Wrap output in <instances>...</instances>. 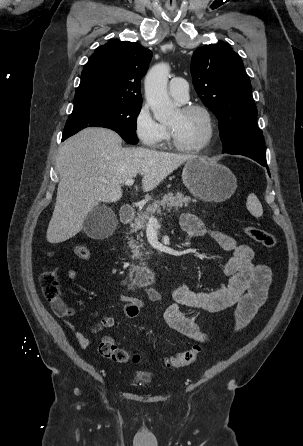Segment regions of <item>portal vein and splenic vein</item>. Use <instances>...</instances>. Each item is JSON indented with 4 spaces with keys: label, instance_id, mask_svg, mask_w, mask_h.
<instances>
[{
    "label": "portal vein and splenic vein",
    "instance_id": "obj_1",
    "mask_svg": "<svg viewBox=\"0 0 303 446\" xmlns=\"http://www.w3.org/2000/svg\"><path fill=\"white\" fill-rule=\"evenodd\" d=\"M133 183H134V179H129V180L125 181V185H127V186H131V185H133ZM149 224L156 225V224H158V221H157V219L154 216H150L149 217Z\"/></svg>",
    "mask_w": 303,
    "mask_h": 446
}]
</instances>
